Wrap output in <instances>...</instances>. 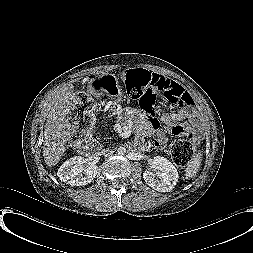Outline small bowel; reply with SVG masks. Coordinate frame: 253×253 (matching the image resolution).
Returning a JSON list of instances; mask_svg holds the SVG:
<instances>
[{"label":"small bowel","mask_w":253,"mask_h":253,"mask_svg":"<svg viewBox=\"0 0 253 253\" xmlns=\"http://www.w3.org/2000/svg\"><path fill=\"white\" fill-rule=\"evenodd\" d=\"M176 85L179 87L181 95H185L187 97V106L180 108L175 112H164L159 120L154 119L153 117L143 113L141 110L135 108L127 109L124 112L125 120H134L138 132L144 136H151L157 146H162L166 142L165 135L161 129L162 125L165 126L173 135H181L185 131H190V126L183 125L181 122L187 119L194 122L197 119V112L193 106H191V97L180 85Z\"/></svg>","instance_id":"small-bowel-1"}]
</instances>
